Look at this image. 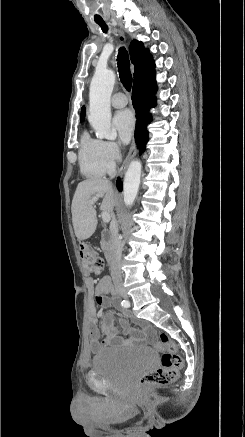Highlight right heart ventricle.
<instances>
[{
	"mask_svg": "<svg viewBox=\"0 0 245 437\" xmlns=\"http://www.w3.org/2000/svg\"><path fill=\"white\" fill-rule=\"evenodd\" d=\"M79 164L81 172L89 178H102L109 173L103 158L101 141L84 131L80 139Z\"/></svg>",
	"mask_w": 245,
	"mask_h": 437,
	"instance_id": "1",
	"label": "right heart ventricle"
}]
</instances>
